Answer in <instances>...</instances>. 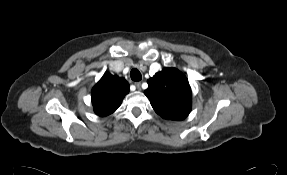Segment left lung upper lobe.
I'll list each match as a JSON object with an SVG mask.
<instances>
[{
    "instance_id": "1",
    "label": "left lung upper lobe",
    "mask_w": 287,
    "mask_h": 175,
    "mask_svg": "<svg viewBox=\"0 0 287 175\" xmlns=\"http://www.w3.org/2000/svg\"><path fill=\"white\" fill-rule=\"evenodd\" d=\"M144 91L157 114L168 120L185 119L191 110V88L176 68H164L148 81Z\"/></svg>"
}]
</instances>
